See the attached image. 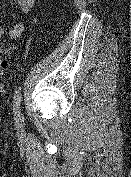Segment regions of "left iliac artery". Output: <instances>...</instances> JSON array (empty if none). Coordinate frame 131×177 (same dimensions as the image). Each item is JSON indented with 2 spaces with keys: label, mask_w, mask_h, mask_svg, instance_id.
Wrapping results in <instances>:
<instances>
[{
  "label": "left iliac artery",
  "mask_w": 131,
  "mask_h": 177,
  "mask_svg": "<svg viewBox=\"0 0 131 177\" xmlns=\"http://www.w3.org/2000/svg\"><path fill=\"white\" fill-rule=\"evenodd\" d=\"M21 101H22V94H21V87H19L14 94V101H13V111L15 115H20L21 110Z\"/></svg>",
  "instance_id": "obj_1"
}]
</instances>
